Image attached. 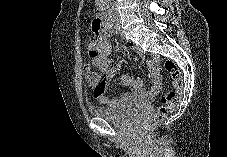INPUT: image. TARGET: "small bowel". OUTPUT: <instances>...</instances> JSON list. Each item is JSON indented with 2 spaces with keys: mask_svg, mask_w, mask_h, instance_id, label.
<instances>
[{
  "mask_svg": "<svg viewBox=\"0 0 227 157\" xmlns=\"http://www.w3.org/2000/svg\"><path fill=\"white\" fill-rule=\"evenodd\" d=\"M133 49H138L137 45L131 43ZM111 51L110 42L104 33L97 36L95 40L87 46V52L92 59V63L100 70L101 76L97 86L93 87V97L96 101L102 104H107L111 107H121L132 103L133 101H148L153 99L160 91L161 77L157 68V57L154 56L147 61L150 69V79L152 87L147 93H144V86L140 79L132 78L128 74L120 77V82L124 86H130L133 89L132 93H125L121 97L107 96V89L110 81L115 77L116 71L112 67L111 60L108 58Z\"/></svg>",
  "mask_w": 227,
  "mask_h": 157,
  "instance_id": "small-bowel-1",
  "label": "small bowel"
}]
</instances>
